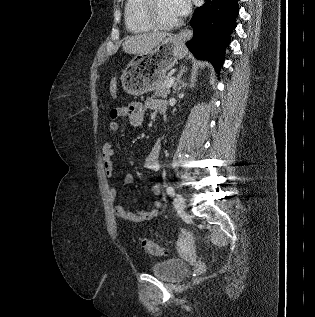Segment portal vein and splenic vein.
<instances>
[{"mask_svg":"<svg viewBox=\"0 0 315 317\" xmlns=\"http://www.w3.org/2000/svg\"><path fill=\"white\" fill-rule=\"evenodd\" d=\"M175 78L174 77H170V79L167 82V88L170 89L174 83Z\"/></svg>","mask_w":315,"mask_h":317,"instance_id":"obj_1","label":"portal vein and splenic vein"}]
</instances>
